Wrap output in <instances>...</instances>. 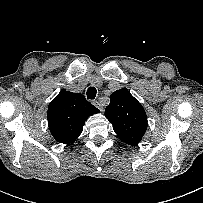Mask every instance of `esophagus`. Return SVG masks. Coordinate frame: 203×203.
Instances as JSON below:
<instances>
[{
    "instance_id": "obj_1",
    "label": "esophagus",
    "mask_w": 203,
    "mask_h": 203,
    "mask_svg": "<svg viewBox=\"0 0 203 203\" xmlns=\"http://www.w3.org/2000/svg\"><path fill=\"white\" fill-rule=\"evenodd\" d=\"M93 105L96 106L100 111H103V107L99 101H94Z\"/></svg>"
}]
</instances>
